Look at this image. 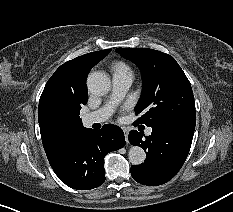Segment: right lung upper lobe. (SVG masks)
<instances>
[{
    "label": "right lung upper lobe",
    "instance_id": "cb5924a9",
    "mask_svg": "<svg viewBox=\"0 0 233 212\" xmlns=\"http://www.w3.org/2000/svg\"><path fill=\"white\" fill-rule=\"evenodd\" d=\"M111 49L79 56L61 65L48 80L39 101V126L48 160L57 157L72 136L84 128L73 118L76 107L88 99L86 78L89 71Z\"/></svg>",
    "mask_w": 233,
    "mask_h": 212
}]
</instances>
